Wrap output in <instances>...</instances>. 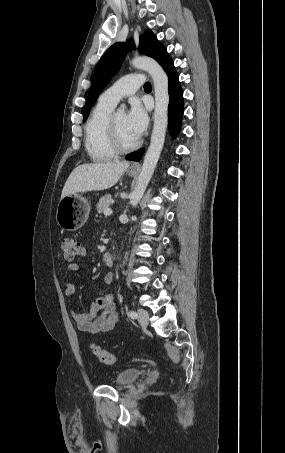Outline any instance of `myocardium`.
<instances>
[{"label": "myocardium", "instance_id": "f54148a6", "mask_svg": "<svg viewBox=\"0 0 285 453\" xmlns=\"http://www.w3.org/2000/svg\"><path fill=\"white\" fill-rule=\"evenodd\" d=\"M115 116H116V113L112 114L110 116L109 122H108V138H109V142H110L112 149L117 154H124V153H128V152H131V151L137 149L141 144V141L139 139L131 145H124L121 142L119 134H118Z\"/></svg>", "mask_w": 285, "mask_h": 453}]
</instances>
